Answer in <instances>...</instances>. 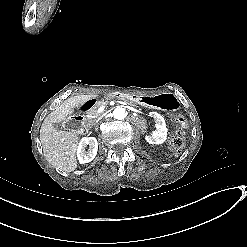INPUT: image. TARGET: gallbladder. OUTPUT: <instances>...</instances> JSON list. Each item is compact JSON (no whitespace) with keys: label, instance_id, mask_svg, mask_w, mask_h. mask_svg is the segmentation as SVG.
Here are the masks:
<instances>
[{"label":"gallbladder","instance_id":"bac80fb5","mask_svg":"<svg viewBox=\"0 0 247 247\" xmlns=\"http://www.w3.org/2000/svg\"><path fill=\"white\" fill-rule=\"evenodd\" d=\"M54 127L56 128V131H60V125L58 123L54 124Z\"/></svg>","mask_w":247,"mask_h":247}]
</instances>
